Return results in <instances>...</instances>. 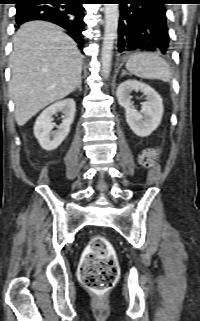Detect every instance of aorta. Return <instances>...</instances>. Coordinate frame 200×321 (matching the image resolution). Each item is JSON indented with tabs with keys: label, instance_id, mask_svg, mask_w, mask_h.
Returning a JSON list of instances; mask_svg holds the SVG:
<instances>
[{
	"label": "aorta",
	"instance_id": "aorta-1",
	"mask_svg": "<svg viewBox=\"0 0 200 321\" xmlns=\"http://www.w3.org/2000/svg\"><path fill=\"white\" fill-rule=\"evenodd\" d=\"M118 21V4H105V30L101 52L102 75L105 78L109 76L111 70V60L114 42L117 37Z\"/></svg>",
	"mask_w": 200,
	"mask_h": 321
}]
</instances>
